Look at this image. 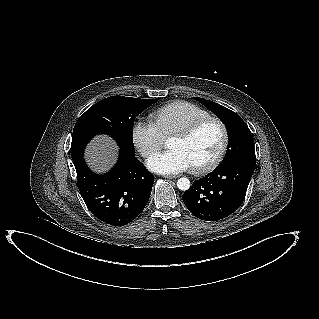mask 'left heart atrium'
Listing matches in <instances>:
<instances>
[{
  "label": "left heart atrium",
  "instance_id": "obj_1",
  "mask_svg": "<svg viewBox=\"0 0 319 319\" xmlns=\"http://www.w3.org/2000/svg\"><path fill=\"white\" fill-rule=\"evenodd\" d=\"M150 170L161 174L180 173L190 167L188 159L176 149H169L153 155L147 162Z\"/></svg>",
  "mask_w": 319,
  "mask_h": 319
}]
</instances>
